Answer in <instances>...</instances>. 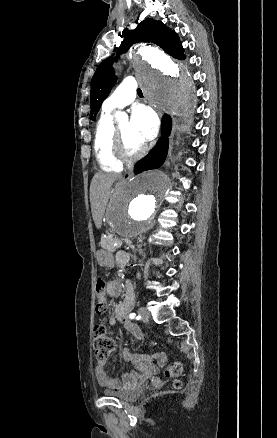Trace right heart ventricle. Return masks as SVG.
Instances as JSON below:
<instances>
[{"instance_id": "right-heart-ventricle-1", "label": "right heart ventricle", "mask_w": 277, "mask_h": 438, "mask_svg": "<svg viewBox=\"0 0 277 438\" xmlns=\"http://www.w3.org/2000/svg\"><path fill=\"white\" fill-rule=\"evenodd\" d=\"M110 66V65H109ZM118 66V65H117ZM113 130L112 114L103 112L95 132V153L101 168L105 171L119 173L123 169L111 147V133Z\"/></svg>"}]
</instances>
